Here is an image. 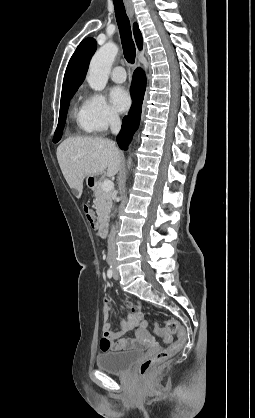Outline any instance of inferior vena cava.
<instances>
[{
    "label": "inferior vena cava",
    "mask_w": 255,
    "mask_h": 418,
    "mask_svg": "<svg viewBox=\"0 0 255 418\" xmlns=\"http://www.w3.org/2000/svg\"><path fill=\"white\" fill-rule=\"evenodd\" d=\"M109 125L113 134L117 135L121 129L120 117L116 113H111L109 116ZM115 234L116 229L113 226L108 238V253L107 261H114L116 258V246H115Z\"/></svg>",
    "instance_id": "1"
}]
</instances>
